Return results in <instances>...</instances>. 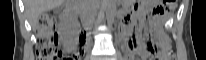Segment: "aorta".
<instances>
[{"label":"aorta","instance_id":"762f6f07","mask_svg":"<svg viewBox=\"0 0 206 60\" xmlns=\"http://www.w3.org/2000/svg\"><path fill=\"white\" fill-rule=\"evenodd\" d=\"M116 14V0H106V20L109 26L114 23Z\"/></svg>","mask_w":206,"mask_h":60}]
</instances>
